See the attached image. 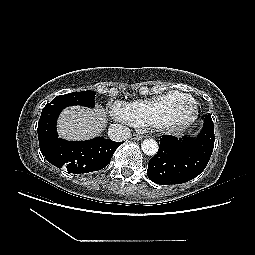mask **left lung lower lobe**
Listing matches in <instances>:
<instances>
[{
	"instance_id": "obj_1",
	"label": "left lung lower lobe",
	"mask_w": 255,
	"mask_h": 255,
	"mask_svg": "<svg viewBox=\"0 0 255 255\" xmlns=\"http://www.w3.org/2000/svg\"><path fill=\"white\" fill-rule=\"evenodd\" d=\"M214 127L211 115L195 137L162 136L158 153L148 164V178L160 185L185 183L197 177L206 167L214 147Z\"/></svg>"
}]
</instances>
